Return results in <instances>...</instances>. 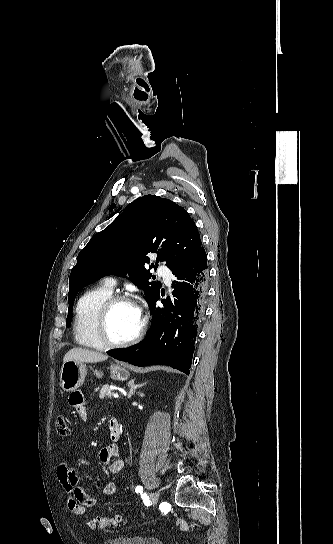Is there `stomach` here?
Masks as SVG:
<instances>
[{"instance_id":"0dacf381","label":"stomach","mask_w":333,"mask_h":544,"mask_svg":"<svg viewBox=\"0 0 333 544\" xmlns=\"http://www.w3.org/2000/svg\"><path fill=\"white\" fill-rule=\"evenodd\" d=\"M110 372L111 377L119 381H125L130 376L127 367L123 364L112 365L110 367ZM86 374L87 368L83 362L71 360L63 363L60 370L61 388L66 392L79 388L83 384ZM95 374L98 378L103 376V373L97 370L95 371Z\"/></svg>"}]
</instances>
